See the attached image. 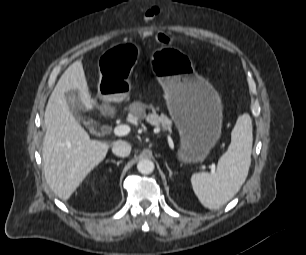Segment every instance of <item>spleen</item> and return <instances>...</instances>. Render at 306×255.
<instances>
[{
  "label": "spleen",
  "instance_id": "spleen-1",
  "mask_svg": "<svg viewBox=\"0 0 306 255\" xmlns=\"http://www.w3.org/2000/svg\"><path fill=\"white\" fill-rule=\"evenodd\" d=\"M252 143V120L244 113L237 119L231 143L220 157L216 171L195 173L191 177L193 190L204 207L219 209L237 194L251 165Z\"/></svg>",
  "mask_w": 306,
  "mask_h": 255
}]
</instances>
